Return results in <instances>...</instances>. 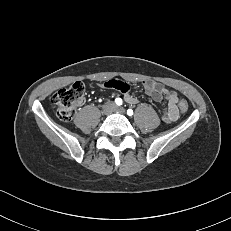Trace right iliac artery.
<instances>
[{"instance_id": "obj_1", "label": "right iliac artery", "mask_w": 231, "mask_h": 231, "mask_svg": "<svg viewBox=\"0 0 231 231\" xmlns=\"http://www.w3.org/2000/svg\"><path fill=\"white\" fill-rule=\"evenodd\" d=\"M115 103H116L118 106L122 105V99H121V98H116V99H115Z\"/></svg>"}]
</instances>
